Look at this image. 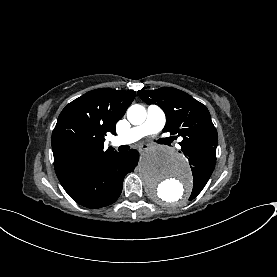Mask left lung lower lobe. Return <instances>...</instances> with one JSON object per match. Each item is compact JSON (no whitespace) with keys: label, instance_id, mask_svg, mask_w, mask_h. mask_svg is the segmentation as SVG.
<instances>
[{"label":"left lung lower lobe","instance_id":"0a47b994","mask_svg":"<svg viewBox=\"0 0 277 277\" xmlns=\"http://www.w3.org/2000/svg\"><path fill=\"white\" fill-rule=\"evenodd\" d=\"M188 156L190 163L199 162L204 159L207 162H210L211 166L215 167L216 163V147L213 146H206L196 150L187 151L184 153Z\"/></svg>","mask_w":277,"mask_h":277}]
</instances>
